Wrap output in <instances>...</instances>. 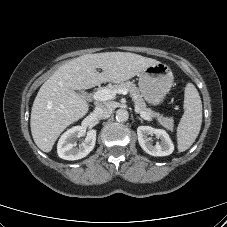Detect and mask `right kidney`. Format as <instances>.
<instances>
[{
	"label": "right kidney",
	"mask_w": 227,
	"mask_h": 227,
	"mask_svg": "<svg viewBox=\"0 0 227 227\" xmlns=\"http://www.w3.org/2000/svg\"><path fill=\"white\" fill-rule=\"evenodd\" d=\"M85 133L81 126H75L62 134L57 145L58 156L65 160H78L86 157L95 146L96 130L87 131L86 138L77 146L75 139Z\"/></svg>",
	"instance_id": "1"
}]
</instances>
